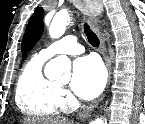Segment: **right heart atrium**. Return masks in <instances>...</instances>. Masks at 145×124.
<instances>
[{"label": "right heart atrium", "mask_w": 145, "mask_h": 124, "mask_svg": "<svg viewBox=\"0 0 145 124\" xmlns=\"http://www.w3.org/2000/svg\"><path fill=\"white\" fill-rule=\"evenodd\" d=\"M59 98H60L61 107L64 109H67L68 107H70V105L73 102L72 97L64 89L59 90Z\"/></svg>", "instance_id": "obj_1"}]
</instances>
